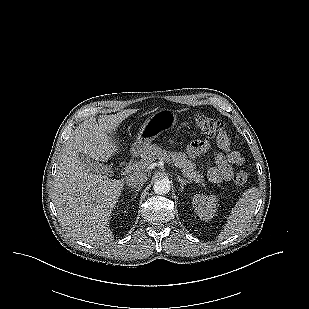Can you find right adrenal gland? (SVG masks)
<instances>
[{"instance_id": "2a0ac1e0", "label": "right adrenal gland", "mask_w": 309, "mask_h": 309, "mask_svg": "<svg viewBox=\"0 0 309 309\" xmlns=\"http://www.w3.org/2000/svg\"><path fill=\"white\" fill-rule=\"evenodd\" d=\"M132 189H133V191L135 192V198H136V196H137V194H138V191L141 189V187H132Z\"/></svg>"}]
</instances>
